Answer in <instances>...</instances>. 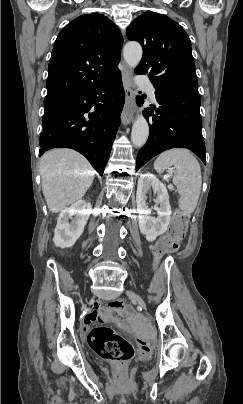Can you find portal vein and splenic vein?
<instances>
[{"label":"portal vein and splenic vein","mask_w":243,"mask_h":404,"mask_svg":"<svg viewBox=\"0 0 243 404\" xmlns=\"http://www.w3.org/2000/svg\"><path fill=\"white\" fill-rule=\"evenodd\" d=\"M171 178H172L171 174H165L163 178V183L169 182Z\"/></svg>","instance_id":"obj_1"}]
</instances>
